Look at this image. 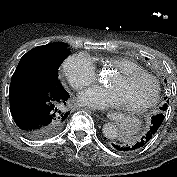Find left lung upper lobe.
Returning <instances> with one entry per match:
<instances>
[{
	"label": "left lung upper lobe",
	"instance_id": "left-lung-upper-lobe-1",
	"mask_svg": "<svg viewBox=\"0 0 177 177\" xmlns=\"http://www.w3.org/2000/svg\"><path fill=\"white\" fill-rule=\"evenodd\" d=\"M160 109H161L160 112H164L167 109V104H164L163 107H161Z\"/></svg>",
	"mask_w": 177,
	"mask_h": 177
}]
</instances>
